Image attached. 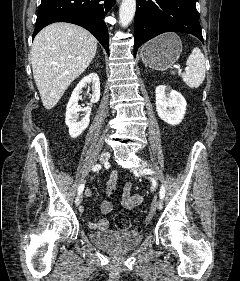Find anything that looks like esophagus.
Returning <instances> with one entry per match:
<instances>
[{"mask_svg":"<svg viewBox=\"0 0 240 281\" xmlns=\"http://www.w3.org/2000/svg\"><path fill=\"white\" fill-rule=\"evenodd\" d=\"M120 0H116L117 3H119Z\"/></svg>","mask_w":240,"mask_h":281,"instance_id":"obj_1","label":"esophagus"}]
</instances>
